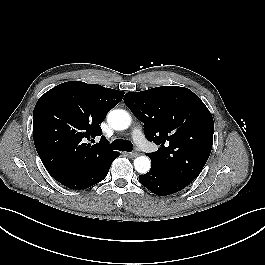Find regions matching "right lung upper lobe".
<instances>
[{
    "mask_svg": "<svg viewBox=\"0 0 265 265\" xmlns=\"http://www.w3.org/2000/svg\"><path fill=\"white\" fill-rule=\"evenodd\" d=\"M123 96L98 84L69 81L40 97L33 111L34 144L53 178L98 167L118 153L109 149L99 125ZM97 136L99 143H88Z\"/></svg>",
    "mask_w": 265,
    "mask_h": 265,
    "instance_id": "obj_1",
    "label": "right lung upper lobe"
}]
</instances>
